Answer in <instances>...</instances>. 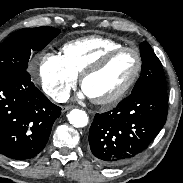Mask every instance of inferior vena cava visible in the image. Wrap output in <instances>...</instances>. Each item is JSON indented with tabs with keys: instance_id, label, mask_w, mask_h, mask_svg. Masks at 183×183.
<instances>
[{
	"instance_id": "1",
	"label": "inferior vena cava",
	"mask_w": 183,
	"mask_h": 183,
	"mask_svg": "<svg viewBox=\"0 0 183 183\" xmlns=\"http://www.w3.org/2000/svg\"><path fill=\"white\" fill-rule=\"evenodd\" d=\"M68 98H69V94L64 92L53 95V99L58 103L66 102Z\"/></svg>"
}]
</instances>
